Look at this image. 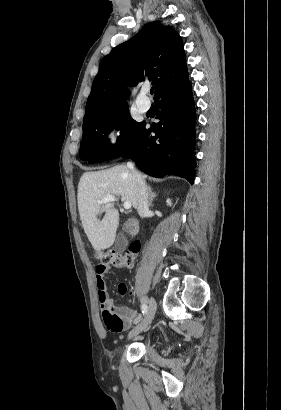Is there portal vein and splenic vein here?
Wrapping results in <instances>:
<instances>
[{"mask_svg":"<svg viewBox=\"0 0 281 410\" xmlns=\"http://www.w3.org/2000/svg\"><path fill=\"white\" fill-rule=\"evenodd\" d=\"M115 201H117V198L115 196H106L102 200H99L98 203L99 204H104V203H107V202H115ZM131 206H132L131 203L128 202V201H125L124 204H123V207L126 210H129L131 208Z\"/></svg>","mask_w":281,"mask_h":410,"instance_id":"18ae733b","label":"portal vein and splenic vein"}]
</instances>
